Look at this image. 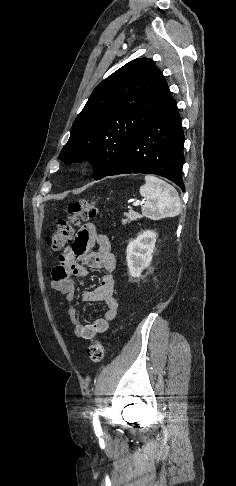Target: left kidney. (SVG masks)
Returning <instances> with one entry per match:
<instances>
[{
	"label": "left kidney",
	"instance_id": "obj_1",
	"mask_svg": "<svg viewBox=\"0 0 236 486\" xmlns=\"http://www.w3.org/2000/svg\"><path fill=\"white\" fill-rule=\"evenodd\" d=\"M157 234L146 230L132 240L126 249V261L131 277H140L152 261Z\"/></svg>",
	"mask_w": 236,
	"mask_h": 486
}]
</instances>
